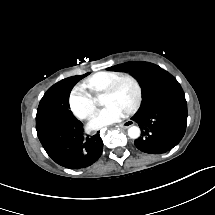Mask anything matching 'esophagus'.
<instances>
[{"label":"esophagus","mask_w":215,"mask_h":215,"mask_svg":"<svg viewBox=\"0 0 215 215\" xmlns=\"http://www.w3.org/2000/svg\"><path fill=\"white\" fill-rule=\"evenodd\" d=\"M132 125H134V121L133 120H127V121L121 123L119 126L121 128H128V127H130Z\"/></svg>","instance_id":"obj_1"}]
</instances>
